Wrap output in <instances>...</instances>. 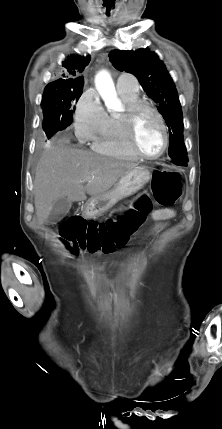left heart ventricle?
<instances>
[{
    "mask_svg": "<svg viewBox=\"0 0 222 429\" xmlns=\"http://www.w3.org/2000/svg\"><path fill=\"white\" fill-rule=\"evenodd\" d=\"M136 141L142 152L157 154L163 147V134L156 117L149 111H143L136 124Z\"/></svg>",
    "mask_w": 222,
    "mask_h": 429,
    "instance_id": "1",
    "label": "left heart ventricle"
}]
</instances>
